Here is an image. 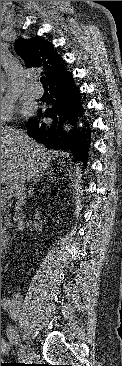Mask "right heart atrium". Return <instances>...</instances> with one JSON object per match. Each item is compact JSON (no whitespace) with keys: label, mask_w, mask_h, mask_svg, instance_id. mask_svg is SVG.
<instances>
[{"label":"right heart atrium","mask_w":122,"mask_h":366,"mask_svg":"<svg viewBox=\"0 0 122 366\" xmlns=\"http://www.w3.org/2000/svg\"><path fill=\"white\" fill-rule=\"evenodd\" d=\"M14 114V102L1 94V125L9 122L13 118Z\"/></svg>","instance_id":"1"}]
</instances>
